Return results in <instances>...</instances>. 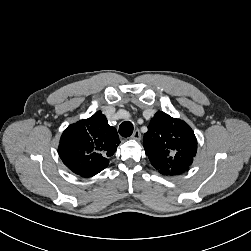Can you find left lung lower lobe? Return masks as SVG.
I'll use <instances>...</instances> for the list:
<instances>
[{"mask_svg":"<svg viewBox=\"0 0 251 251\" xmlns=\"http://www.w3.org/2000/svg\"><path fill=\"white\" fill-rule=\"evenodd\" d=\"M159 172L160 173H162V174H164V175H177V174H168V172L167 171H162V170H159Z\"/></svg>","mask_w":251,"mask_h":251,"instance_id":"obj_1","label":"left lung lower lobe"}]
</instances>
